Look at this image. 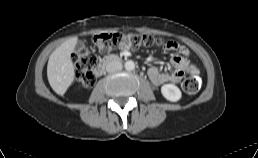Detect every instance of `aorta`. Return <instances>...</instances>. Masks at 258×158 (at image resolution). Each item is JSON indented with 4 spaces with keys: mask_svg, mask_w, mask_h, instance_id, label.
Here are the masks:
<instances>
[{
    "mask_svg": "<svg viewBox=\"0 0 258 158\" xmlns=\"http://www.w3.org/2000/svg\"><path fill=\"white\" fill-rule=\"evenodd\" d=\"M124 66H125V69L128 70V71H132L135 68V64L132 60H129V61L125 62Z\"/></svg>",
    "mask_w": 258,
    "mask_h": 158,
    "instance_id": "obj_1",
    "label": "aorta"
}]
</instances>
